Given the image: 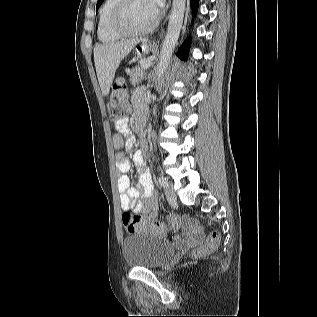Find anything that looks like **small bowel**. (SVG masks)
Returning <instances> with one entry per match:
<instances>
[{"label": "small bowel", "mask_w": 317, "mask_h": 317, "mask_svg": "<svg viewBox=\"0 0 317 317\" xmlns=\"http://www.w3.org/2000/svg\"><path fill=\"white\" fill-rule=\"evenodd\" d=\"M136 108V119L141 122L140 98L136 93L132 98ZM116 132L113 135V145L118 150L116 153V167L120 172L118 190L120 192V205L123 210H132L136 213L153 218L158 209L157 195L154 190L152 178L145 165L144 153L137 150L133 153L132 160L137 168L139 176L136 187H133L128 177L131 167L130 160L125 156L122 149L131 150L135 146V137L132 134L127 118L115 122ZM186 236L190 241L198 240L201 231L197 225L186 227Z\"/></svg>", "instance_id": "obj_1"}]
</instances>
